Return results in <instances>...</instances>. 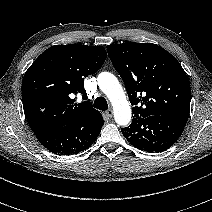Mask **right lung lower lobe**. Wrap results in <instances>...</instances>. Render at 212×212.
<instances>
[{"label":"right lung lower lobe","mask_w":212,"mask_h":212,"mask_svg":"<svg viewBox=\"0 0 212 212\" xmlns=\"http://www.w3.org/2000/svg\"><path fill=\"white\" fill-rule=\"evenodd\" d=\"M103 123L101 116L96 121L78 120L64 126H49L34 133L38 141L52 153L71 155L88 149L97 139Z\"/></svg>","instance_id":"obj_1"}]
</instances>
